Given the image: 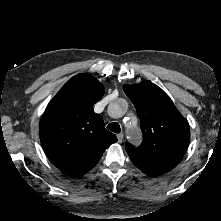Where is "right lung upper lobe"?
Listing matches in <instances>:
<instances>
[{
    "mask_svg": "<svg viewBox=\"0 0 221 221\" xmlns=\"http://www.w3.org/2000/svg\"><path fill=\"white\" fill-rule=\"evenodd\" d=\"M103 94L104 87L96 78L78 74L48 104L39 135L47 157L57 168L99 158L117 141L93 110Z\"/></svg>",
    "mask_w": 221,
    "mask_h": 221,
    "instance_id": "cb5924a9",
    "label": "right lung upper lobe"
}]
</instances>
